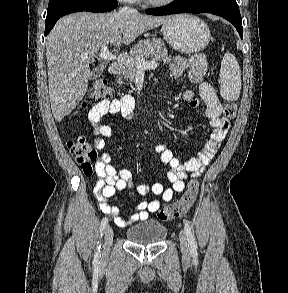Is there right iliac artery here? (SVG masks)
I'll list each match as a JSON object with an SVG mask.
<instances>
[{"label": "right iliac artery", "mask_w": 288, "mask_h": 293, "mask_svg": "<svg viewBox=\"0 0 288 293\" xmlns=\"http://www.w3.org/2000/svg\"><path fill=\"white\" fill-rule=\"evenodd\" d=\"M107 223H108V218H107V217H104V218L102 219V221H101V225H100L101 236H102V232H103V230L105 229ZM100 248H101V246H100V244H98V246H97V250H96L95 255H94V261H93V263H94L95 265L99 264V259H100V256H101V255H100Z\"/></svg>", "instance_id": "obj_1"}]
</instances>
